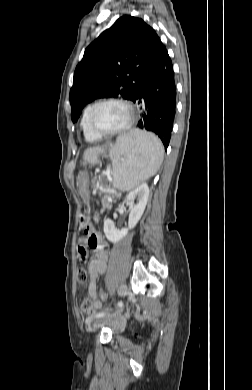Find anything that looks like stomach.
Here are the masks:
<instances>
[{
	"mask_svg": "<svg viewBox=\"0 0 252 390\" xmlns=\"http://www.w3.org/2000/svg\"><path fill=\"white\" fill-rule=\"evenodd\" d=\"M114 149V148H112ZM103 150H97V151H87L84 157L85 164L86 165H95L99 163V155L103 153ZM80 187L82 191V196L85 201V203L88 205V199H89V192H88V174L87 172H83L81 174V180H80ZM88 209L84 211V214L81 217V221H87L88 220Z\"/></svg>",
	"mask_w": 252,
	"mask_h": 390,
	"instance_id": "stomach-1",
	"label": "stomach"
}]
</instances>
